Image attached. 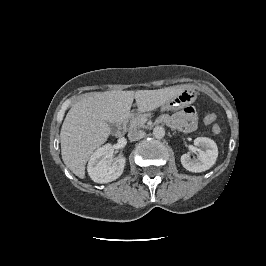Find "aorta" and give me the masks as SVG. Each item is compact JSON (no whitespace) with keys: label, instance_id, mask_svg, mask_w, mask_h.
I'll list each match as a JSON object with an SVG mask.
<instances>
[{"label":"aorta","instance_id":"1","mask_svg":"<svg viewBox=\"0 0 266 266\" xmlns=\"http://www.w3.org/2000/svg\"><path fill=\"white\" fill-rule=\"evenodd\" d=\"M153 135L155 138L157 139H161L165 136V129L161 126H156L154 129H153Z\"/></svg>","mask_w":266,"mask_h":266}]
</instances>
